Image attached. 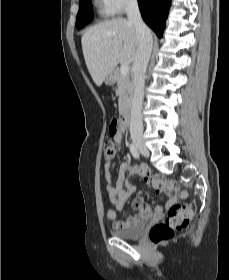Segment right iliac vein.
<instances>
[{"mask_svg":"<svg viewBox=\"0 0 229 280\" xmlns=\"http://www.w3.org/2000/svg\"><path fill=\"white\" fill-rule=\"evenodd\" d=\"M133 143L136 145V147L141 151V153L145 156H149L148 149L144 145L143 141L138 138L133 139Z\"/></svg>","mask_w":229,"mask_h":280,"instance_id":"right-iliac-vein-1","label":"right iliac vein"}]
</instances>
